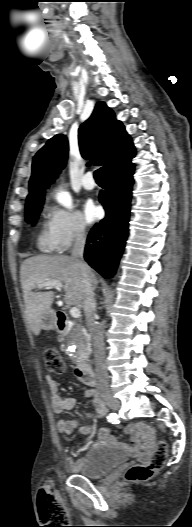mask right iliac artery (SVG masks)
I'll return each mask as SVG.
<instances>
[{"label":"right iliac artery","instance_id":"1","mask_svg":"<svg viewBox=\"0 0 192 527\" xmlns=\"http://www.w3.org/2000/svg\"><path fill=\"white\" fill-rule=\"evenodd\" d=\"M107 419L112 427L122 426V415L120 413L111 414Z\"/></svg>","mask_w":192,"mask_h":527}]
</instances>
